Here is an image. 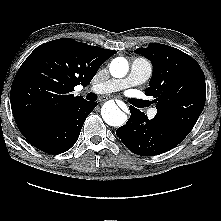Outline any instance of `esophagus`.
<instances>
[{"label":"esophagus","mask_w":221,"mask_h":221,"mask_svg":"<svg viewBox=\"0 0 221 221\" xmlns=\"http://www.w3.org/2000/svg\"><path fill=\"white\" fill-rule=\"evenodd\" d=\"M106 100H108V97H102V99H101V101H106ZM120 105H124L125 106V104L123 103V102H120Z\"/></svg>","instance_id":"1"}]
</instances>
